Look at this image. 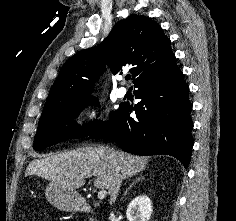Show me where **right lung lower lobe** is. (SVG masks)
<instances>
[{
    "mask_svg": "<svg viewBox=\"0 0 236 221\" xmlns=\"http://www.w3.org/2000/svg\"><path fill=\"white\" fill-rule=\"evenodd\" d=\"M134 108L123 103L91 138H111L122 150L136 155L167 154L188 167L193 147L189 87L173 56L164 66L142 78ZM136 111V119L129 116Z\"/></svg>",
    "mask_w": 236,
    "mask_h": 221,
    "instance_id": "obj_1",
    "label": "right lung lower lobe"
}]
</instances>
